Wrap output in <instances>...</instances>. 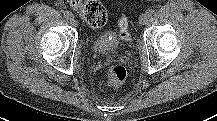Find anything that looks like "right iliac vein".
I'll use <instances>...</instances> for the list:
<instances>
[{"label": "right iliac vein", "instance_id": "right-iliac-vein-1", "mask_svg": "<svg viewBox=\"0 0 217 121\" xmlns=\"http://www.w3.org/2000/svg\"><path fill=\"white\" fill-rule=\"evenodd\" d=\"M70 22L73 26H77V21L73 17L70 18Z\"/></svg>", "mask_w": 217, "mask_h": 121}]
</instances>
